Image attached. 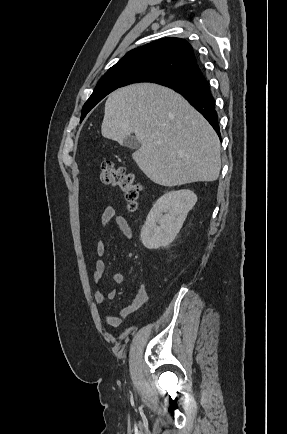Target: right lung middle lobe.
Here are the masks:
<instances>
[{"label": "right lung middle lobe", "instance_id": "obj_1", "mask_svg": "<svg viewBox=\"0 0 287 434\" xmlns=\"http://www.w3.org/2000/svg\"><path fill=\"white\" fill-rule=\"evenodd\" d=\"M180 77V75L157 69H145L103 77L99 80L92 95L84 104L81 120H83L86 114L105 96L122 86L141 82L161 84L167 81H178Z\"/></svg>", "mask_w": 287, "mask_h": 434}]
</instances>
